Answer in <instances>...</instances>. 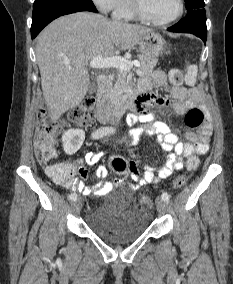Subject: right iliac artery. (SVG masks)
<instances>
[{
    "label": "right iliac artery",
    "mask_w": 233,
    "mask_h": 284,
    "mask_svg": "<svg viewBox=\"0 0 233 284\" xmlns=\"http://www.w3.org/2000/svg\"><path fill=\"white\" fill-rule=\"evenodd\" d=\"M114 132V128L112 127H103V128H99L96 131H94L92 133V139H99L102 138L104 136L110 135ZM69 199L71 201H75L77 199V194L76 193H71L69 195Z\"/></svg>",
    "instance_id": "1"
}]
</instances>
